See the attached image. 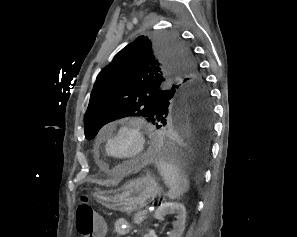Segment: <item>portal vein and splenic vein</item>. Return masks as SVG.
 I'll list each match as a JSON object with an SVG mask.
<instances>
[{
    "label": "portal vein and splenic vein",
    "instance_id": "portal-vein-and-splenic-vein-1",
    "mask_svg": "<svg viewBox=\"0 0 297 237\" xmlns=\"http://www.w3.org/2000/svg\"><path fill=\"white\" fill-rule=\"evenodd\" d=\"M143 213H144V214H146V213H147V209H146V210H144V211H143Z\"/></svg>",
    "mask_w": 297,
    "mask_h": 237
}]
</instances>
